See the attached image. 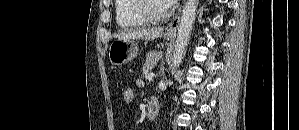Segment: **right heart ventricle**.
Listing matches in <instances>:
<instances>
[{"mask_svg": "<svg viewBox=\"0 0 299 130\" xmlns=\"http://www.w3.org/2000/svg\"><path fill=\"white\" fill-rule=\"evenodd\" d=\"M137 1L138 0L115 1V18L120 28H138L149 24V21L139 14Z\"/></svg>", "mask_w": 299, "mask_h": 130, "instance_id": "right-heart-ventricle-1", "label": "right heart ventricle"}]
</instances>
